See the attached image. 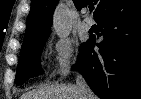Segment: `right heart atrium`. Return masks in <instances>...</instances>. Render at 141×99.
Returning <instances> with one entry per match:
<instances>
[{"mask_svg": "<svg viewBox=\"0 0 141 99\" xmlns=\"http://www.w3.org/2000/svg\"><path fill=\"white\" fill-rule=\"evenodd\" d=\"M55 64L61 77L68 76L77 66L78 54L74 43L67 39L57 40L54 44Z\"/></svg>", "mask_w": 141, "mask_h": 99, "instance_id": "obj_1", "label": "right heart atrium"}]
</instances>
